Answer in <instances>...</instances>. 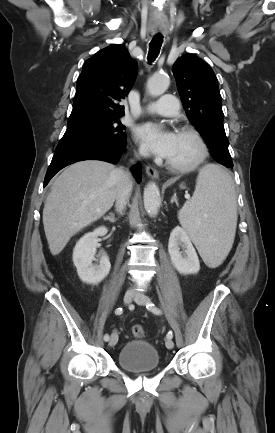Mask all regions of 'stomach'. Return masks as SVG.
Masks as SVG:
<instances>
[{"instance_id":"stomach-1","label":"stomach","mask_w":275,"mask_h":433,"mask_svg":"<svg viewBox=\"0 0 275 433\" xmlns=\"http://www.w3.org/2000/svg\"><path fill=\"white\" fill-rule=\"evenodd\" d=\"M181 188H185L184 185H181Z\"/></svg>"}]
</instances>
